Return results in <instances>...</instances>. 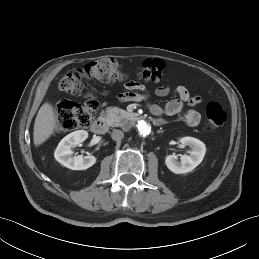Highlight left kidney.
I'll use <instances>...</instances> for the list:
<instances>
[{"label": "left kidney", "mask_w": 259, "mask_h": 259, "mask_svg": "<svg viewBox=\"0 0 259 259\" xmlns=\"http://www.w3.org/2000/svg\"><path fill=\"white\" fill-rule=\"evenodd\" d=\"M180 143L191 148L190 155H182L181 161L177 160L176 155H169L165 159L167 168L175 174H184L192 171L203 160L206 153L205 144L193 137H182Z\"/></svg>", "instance_id": "left-kidney-1"}]
</instances>
